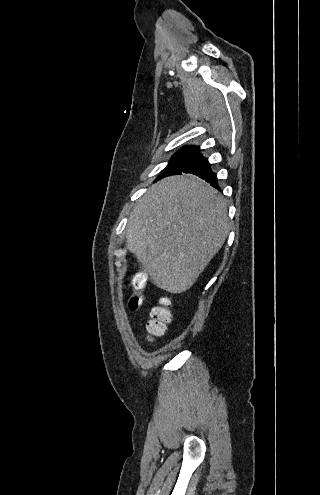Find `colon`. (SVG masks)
<instances>
[{
  "mask_svg": "<svg viewBox=\"0 0 320 495\" xmlns=\"http://www.w3.org/2000/svg\"><path fill=\"white\" fill-rule=\"evenodd\" d=\"M130 284L136 291H140L145 287L146 279L142 274L135 273L130 278ZM142 301V296L139 293H133L128 300L129 309L137 310L142 304ZM170 321L171 312L168 307V300L163 299L160 306L152 309L147 330L151 336H161Z\"/></svg>",
  "mask_w": 320,
  "mask_h": 495,
  "instance_id": "colon-1",
  "label": "colon"
}]
</instances>
